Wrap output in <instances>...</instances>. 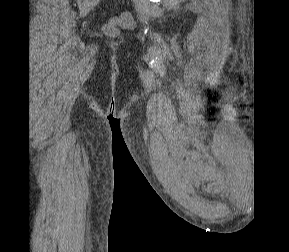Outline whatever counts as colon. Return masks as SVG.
<instances>
[{"instance_id": "5ec220e1", "label": "colon", "mask_w": 289, "mask_h": 252, "mask_svg": "<svg viewBox=\"0 0 289 252\" xmlns=\"http://www.w3.org/2000/svg\"><path fill=\"white\" fill-rule=\"evenodd\" d=\"M133 25V18L129 13H124L120 18H116L110 21L107 25V31L114 34L118 26L131 27Z\"/></svg>"}]
</instances>
